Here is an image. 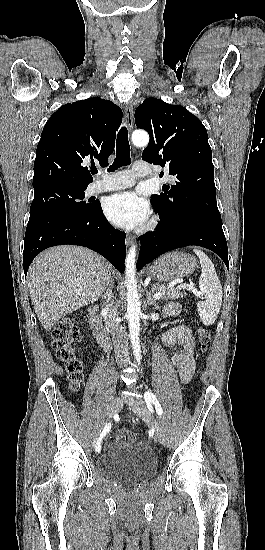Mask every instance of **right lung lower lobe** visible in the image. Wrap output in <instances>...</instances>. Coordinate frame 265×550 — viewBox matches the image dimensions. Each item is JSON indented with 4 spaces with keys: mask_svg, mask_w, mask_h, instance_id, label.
Instances as JSON below:
<instances>
[{
    "mask_svg": "<svg viewBox=\"0 0 265 550\" xmlns=\"http://www.w3.org/2000/svg\"><path fill=\"white\" fill-rule=\"evenodd\" d=\"M125 237L124 232L105 219L100 202L86 212H58L29 219L23 251L24 272L27 274L33 259L44 249L72 244L98 252L123 273Z\"/></svg>",
    "mask_w": 265,
    "mask_h": 550,
    "instance_id": "98d812e1",
    "label": "right lung lower lobe"
}]
</instances>
